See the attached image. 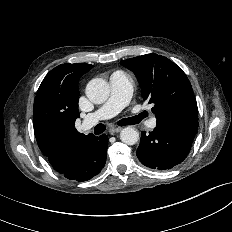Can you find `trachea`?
<instances>
[{
	"mask_svg": "<svg viewBox=\"0 0 232 232\" xmlns=\"http://www.w3.org/2000/svg\"><path fill=\"white\" fill-rule=\"evenodd\" d=\"M142 118H144L143 114H140L139 116H135V117L123 118L118 121V125L125 126V125L137 124ZM105 130H106V126L104 124H97L94 128V133L96 135H99L103 133Z\"/></svg>",
	"mask_w": 232,
	"mask_h": 232,
	"instance_id": "obj_1",
	"label": "trachea"
}]
</instances>
